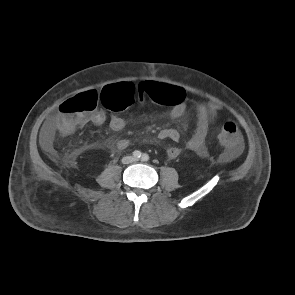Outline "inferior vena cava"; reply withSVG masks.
<instances>
[{
  "label": "inferior vena cava",
  "instance_id": "obj_1",
  "mask_svg": "<svg viewBox=\"0 0 295 295\" xmlns=\"http://www.w3.org/2000/svg\"><path fill=\"white\" fill-rule=\"evenodd\" d=\"M129 159H130V161L129 162H133L134 161V158L133 157H128Z\"/></svg>",
  "mask_w": 295,
  "mask_h": 295
}]
</instances>
